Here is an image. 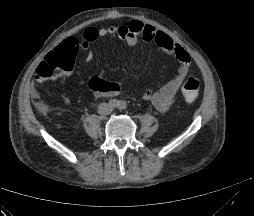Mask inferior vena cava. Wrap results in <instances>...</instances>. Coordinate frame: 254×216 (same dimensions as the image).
<instances>
[{
	"mask_svg": "<svg viewBox=\"0 0 254 216\" xmlns=\"http://www.w3.org/2000/svg\"><path fill=\"white\" fill-rule=\"evenodd\" d=\"M112 112V108L109 104L107 103H101L98 106V113L101 115H108Z\"/></svg>",
	"mask_w": 254,
	"mask_h": 216,
	"instance_id": "inferior-vena-cava-1",
	"label": "inferior vena cava"
}]
</instances>
